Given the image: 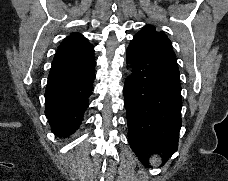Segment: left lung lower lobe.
I'll list each match as a JSON object with an SVG mask.
<instances>
[{
  "label": "left lung lower lobe",
  "instance_id": "0a47b994",
  "mask_svg": "<svg viewBox=\"0 0 228 181\" xmlns=\"http://www.w3.org/2000/svg\"><path fill=\"white\" fill-rule=\"evenodd\" d=\"M133 74L124 86L128 140L139 160L148 165L154 153L165 158L178 149L181 85L172 49L134 38L126 52Z\"/></svg>",
  "mask_w": 228,
  "mask_h": 181
}]
</instances>
